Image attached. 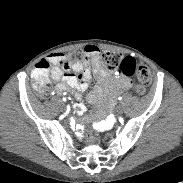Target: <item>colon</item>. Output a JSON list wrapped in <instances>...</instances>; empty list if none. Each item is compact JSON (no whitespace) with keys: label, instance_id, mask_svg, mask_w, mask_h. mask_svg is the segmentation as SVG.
Listing matches in <instances>:
<instances>
[{"label":"colon","instance_id":"1","mask_svg":"<svg viewBox=\"0 0 183 183\" xmlns=\"http://www.w3.org/2000/svg\"><path fill=\"white\" fill-rule=\"evenodd\" d=\"M103 66L111 71H117L119 74L130 77L134 76L136 78L135 94L141 96L145 93L146 87L151 82V71L150 69L142 64L138 63L132 57H123L117 52H103L101 56ZM88 62V55L85 50L78 49L67 56L60 63L62 66L66 65L68 67L74 64L85 65ZM50 63L48 60L39 61L32 73V81L36 90L40 93H45L48 88V69ZM82 132L84 134V143L86 146L91 147L96 142V133L93 131L92 127L86 125L83 127Z\"/></svg>","mask_w":183,"mask_h":183}]
</instances>
